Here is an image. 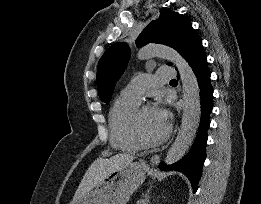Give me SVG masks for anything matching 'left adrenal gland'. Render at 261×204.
I'll use <instances>...</instances> for the list:
<instances>
[{
	"mask_svg": "<svg viewBox=\"0 0 261 204\" xmlns=\"http://www.w3.org/2000/svg\"><path fill=\"white\" fill-rule=\"evenodd\" d=\"M149 203H150L149 196L148 194H146L144 196V199L141 200V204H149Z\"/></svg>",
	"mask_w": 261,
	"mask_h": 204,
	"instance_id": "1",
	"label": "left adrenal gland"
}]
</instances>
